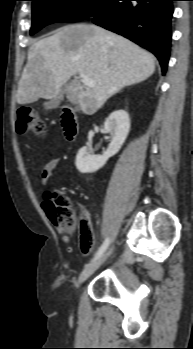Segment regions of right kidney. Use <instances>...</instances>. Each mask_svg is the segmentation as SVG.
Returning <instances> with one entry per match:
<instances>
[{
    "label": "right kidney",
    "mask_w": 193,
    "mask_h": 349,
    "mask_svg": "<svg viewBox=\"0 0 193 349\" xmlns=\"http://www.w3.org/2000/svg\"><path fill=\"white\" fill-rule=\"evenodd\" d=\"M104 130L110 134V144L101 155H92L87 147H82L76 155L75 165L81 173H92L102 168L108 159L121 149L130 131V118L125 110L111 113L104 123Z\"/></svg>",
    "instance_id": "obj_1"
}]
</instances>
